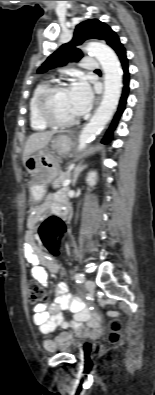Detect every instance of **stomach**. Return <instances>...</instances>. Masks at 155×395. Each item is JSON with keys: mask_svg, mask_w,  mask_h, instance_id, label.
Masks as SVG:
<instances>
[{"mask_svg": "<svg viewBox=\"0 0 155 395\" xmlns=\"http://www.w3.org/2000/svg\"><path fill=\"white\" fill-rule=\"evenodd\" d=\"M71 145L72 140L67 135H58L50 142V147L59 154H66ZM24 166L30 176L32 202L38 204L45 195L47 184L60 172L58 161L48 148H44L29 156Z\"/></svg>", "mask_w": 155, "mask_h": 395, "instance_id": "1", "label": "stomach"}]
</instances>
